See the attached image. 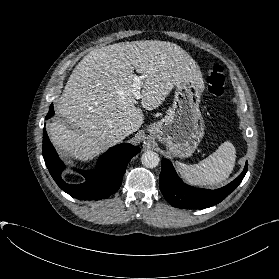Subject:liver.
<instances>
[{"label": "liver", "mask_w": 279, "mask_h": 279, "mask_svg": "<svg viewBox=\"0 0 279 279\" xmlns=\"http://www.w3.org/2000/svg\"><path fill=\"white\" fill-rule=\"evenodd\" d=\"M134 70L145 76L141 105L146 110L160 106L181 80L204 87L197 63L174 43L141 40L95 49L78 63L55 101L65 122L50 123L48 134L64 156L91 160L120 143L123 129L133 133L141 127L144 114L135 106Z\"/></svg>", "instance_id": "6515ba94"}]
</instances>
